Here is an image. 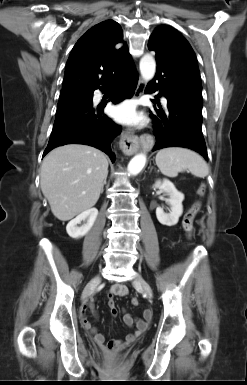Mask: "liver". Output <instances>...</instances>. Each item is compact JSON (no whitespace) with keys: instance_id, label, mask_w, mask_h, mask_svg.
I'll return each instance as SVG.
<instances>
[{"instance_id":"6515ba94","label":"liver","mask_w":247,"mask_h":385,"mask_svg":"<svg viewBox=\"0 0 247 385\" xmlns=\"http://www.w3.org/2000/svg\"><path fill=\"white\" fill-rule=\"evenodd\" d=\"M107 174L108 160L103 152L87 145L67 144L44 158L40 186L53 215L68 221L96 204Z\"/></svg>"}]
</instances>
